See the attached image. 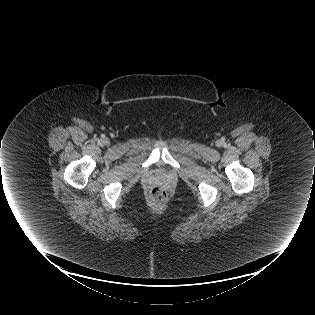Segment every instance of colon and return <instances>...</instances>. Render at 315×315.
Segmentation results:
<instances>
[{
  "mask_svg": "<svg viewBox=\"0 0 315 315\" xmlns=\"http://www.w3.org/2000/svg\"><path fill=\"white\" fill-rule=\"evenodd\" d=\"M150 198L154 204L161 205L167 199V192L161 186H154L150 190Z\"/></svg>",
  "mask_w": 315,
  "mask_h": 315,
  "instance_id": "obj_1",
  "label": "colon"
}]
</instances>
